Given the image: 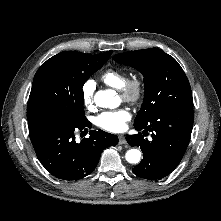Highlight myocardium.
Instances as JSON below:
<instances>
[{
  "instance_id": "myocardium-1",
  "label": "myocardium",
  "mask_w": 221,
  "mask_h": 221,
  "mask_svg": "<svg viewBox=\"0 0 221 221\" xmlns=\"http://www.w3.org/2000/svg\"><path fill=\"white\" fill-rule=\"evenodd\" d=\"M120 93L124 101L132 105L139 104L142 101L145 93V85L143 80L139 77L127 79L120 89Z\"/></svg>"
}]
</instances>
